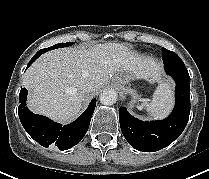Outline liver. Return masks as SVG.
I'll return each instance as SVG.
<instances>
[{"label": "liver", "instance_id": "1", "mask_svg": "<svg viewBox=\"0 0 209 179\" xmlns=\"http://www.w3.org/2000/svg\"><path fill=\"white\" fill-rule=\"evenodd\" d=\"M124 72L131 73L134 79L154 82L160 78L161 65L112 42L49 51L23 75V85L29 91L27 106L55 121L71 122L82 108V87L86 82H93V91H97L112 77L117 81Z\"/></svg>", "mask_w": 209, "mask_h": 179}]
</instances>
